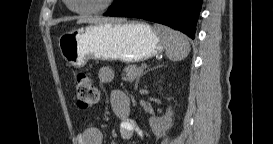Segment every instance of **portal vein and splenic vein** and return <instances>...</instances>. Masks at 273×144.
<instances>
[{"label": "portal vein and splenic vein", "instance_id": "18ae733b", "mask_svg": "<svg viewBox=\"0 0 273 144\" xmlns=\"http://www.w3.org/2000/svg\"><path fill=\"white\" fill-rule=\"evenodd\" d=\"M141 67H142V68H146V67H147V64L144 63V64L141 65Z\"/></svg>", "mask_w": 273, "mask_h": 144}]
</instances>
